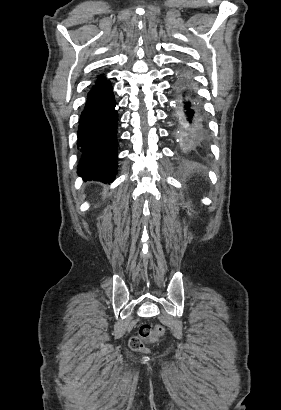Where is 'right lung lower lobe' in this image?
<instances>
[{
    "label": "right lung lower lobe",
    "instance_id": "right-lung-lower-lobe-1",
    "mask_svg": "<svg viewBox=\"0 0 281 410\" xmlns=\"http://www.w3.org/2000/svg\"><path fill=\"white\" fill-rule=\"evenodd\" d=\"M109 81L94 86L81 113L77 173L84 180L111 183L117 174V110Z\"/></svg>",
    "mask_w": 281,
    "mask_h": 410
}]
</instances>
